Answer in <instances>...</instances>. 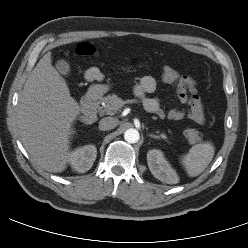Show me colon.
Masks as SVG:
<instances>
[{
	"mask_svg": "<svg viewBox=\"0 0 248 248\" xmlns=\"http://www.w3.org/2000/svg\"><path fill=\"white\" fill-rule=\"evenodd\" d=\"M95 53V48L89 43H81L75 49V54L79 56H91ZM159 76L161 80L169 85L178 86L183 76L174 68L168 65H162L159 67ZM185 137L191 143H197L201 141L202 135L194 128H187L184 131Z\"/></svg>",
	"mask_w": 248,
	"mask_h": 248,
	"instance_id": "5ec220e1",
	"label": "colon"
}]
</instances>
